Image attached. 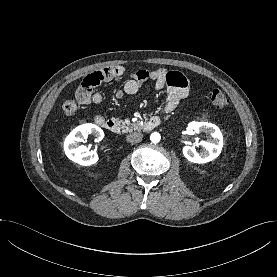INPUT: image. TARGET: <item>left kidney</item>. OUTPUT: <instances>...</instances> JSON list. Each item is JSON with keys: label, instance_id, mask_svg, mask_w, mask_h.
Listing matches in <instances>:
<instances>
[{"label": "left kidney", "instance_id": "obj_1", "mask_svg": "<svg viewBox=\"0 0 277 277\" xmlns=\"http://www.w3.org/2000/svg\"><path fill=\"white\" fill-rule=\"evenodd\" d=\"M189 128L195 133H206L208 140L200 142L204 148L202 152H197L194 146L183 147L185 158L198 164H204L217 158L223 147V136L220 129L208 122H192L189 124Z\"/></svg>", "mask_w": 277, "mask_h": 277}]
</instances>
